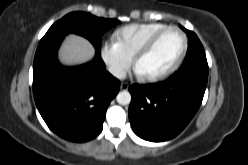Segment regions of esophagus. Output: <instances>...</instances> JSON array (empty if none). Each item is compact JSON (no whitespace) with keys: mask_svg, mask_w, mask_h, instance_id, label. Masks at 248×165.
<instances>
[{"mask_svg":"<svg viewBox=\"0 0 248 165\" xmlns=\"http://www.w3.org/2000/svg\"><path fill=\"white\" fill-rule=\"evenodd\" d=\"M128 87H129V84L126 83V82H123V83H121V85H120V89H121V90H126V89H128Z\"/></svg>","mask_w":248,"mask_h":165,"instance_id":"1","label":"esophagus"}]
</instances>
